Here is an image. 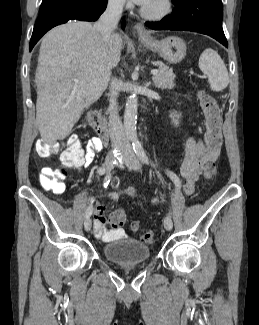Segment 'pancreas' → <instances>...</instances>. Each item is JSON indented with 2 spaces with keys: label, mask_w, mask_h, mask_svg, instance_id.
<instances>
[{
  "label": "pancreas",
  "mask_w": 259,
  "mask_h": 325,
  "mask_svg": "<svg viewBox=\"0 0 259 325\" xmlns=\"http://www.w3.org/2000/svg\"><path fill=\"white\" fill-rule=\"evenodd\" d=\"M158 73L153 75V82L157 88L172 89L175 86V75L169 67L158 65Z\"/></svg>",
  "instance_id": "cf45deb5"
}]
</instances>
